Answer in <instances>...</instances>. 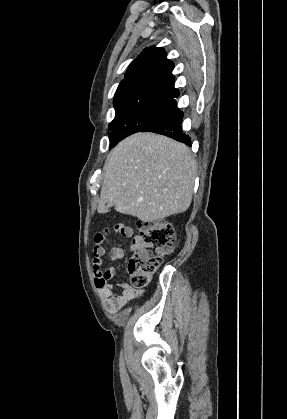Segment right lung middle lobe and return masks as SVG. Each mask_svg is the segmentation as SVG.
<instances>
[{
	"mask_svg": "<svg viewBox=\"0 0 287 419\" xmlns=\"http://www.w3.org/2000/svg\"><path fill=\"white\" fill-rule=\"evenodd\" d=\"M170 108L167 106H136L116 112L115 118L108 127L110 149L125 137L139 132Z\"/></svg>",
	"mask_w": 287,
	"mask_h": 419,
	"instance_id": "obj_1",
	"label": "right lung middle lobe"
}]
</instances>
